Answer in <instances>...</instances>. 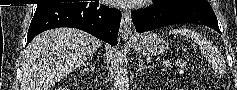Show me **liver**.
Instances as JSON below:
<instances>
[{"mask_svg": "<svg viewBox=\"0 0 237 90\" xmlns=\"http://www.w3.org/2000/svg\"><path fill=\"white\" fill-rule=\"evenodd\" d=\"M100 46L101 40L76 28L42 32L24 52L26 78L22 90H49L58 80L85 64L88 58H93ZM104 48L107 60H111L113 48L109 44H104Z\"/></svg>", "mask_w": 237, "mask_h": 90, "instance_id": "liver-1", "label": "liver"}]
</instances>
